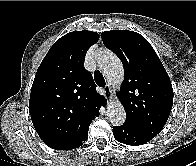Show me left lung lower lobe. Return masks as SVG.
I'll return each mask as SVG.
<instances>
[{"mask_svg":"<svg viewBox=\"0 0 196 166\" xmlns=\"http://www.w3.org/2000/svg\"><path fill=\"white\" fill-rule=\"evenodd\" d=\"M113 135L114 138L120 143L137 146L147 143L157 134L139 130L124 123V125L113 127Z\"/></svg>","mask_w":196,"mask_h":166,"instance_id":"1","label":"left lung lower lobe"}]
</instances>
